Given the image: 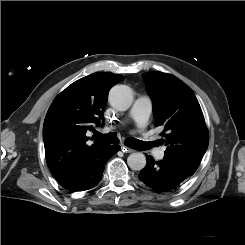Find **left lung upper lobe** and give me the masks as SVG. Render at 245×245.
I'll list each match as a JSON object with an SVG mask.
<instances>
[{
    "label": "left lung upper lobe",
    "instance_id": "obj_1",
    "mask_svg": "<svg viewBox=\"0 0 245 245\" xmlns=\"http://www.w3.org/2000/svg\"><path fill=\"white\" fill-rule=\"evenodd\" d=\"M149 95L154 101L156 126L172 155L188 163L200 164L209 144L208 129L193 91L181 80L162 72L144 73Z\"/></svg>",
    "mask_w": 245,
    "mask_h": 245
}]
</instances>
